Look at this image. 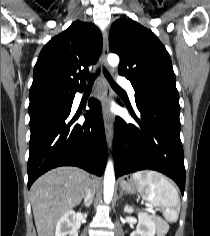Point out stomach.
I'll use <instances>...</instances> for the list:
<instances>
[{
    "mask_svg": "<svg viewBox=\"0 0 210 236\" xmlns=\"http://www.w3.org/2000/svg\"><path fill=\"white\" fill-rule=\"evenodd\" d=\"M120 187L126 193H137L139 192V184L133 179V177H124L120 180Z\"/></svg>",
    "mask_w": 210,
    "mask_h": 236,
    "instance_id": "0dacf381",
    "label": "stomach"
}]
</instances>
